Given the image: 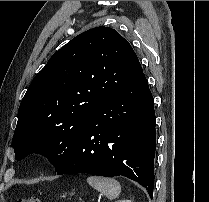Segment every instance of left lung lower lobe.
Listing matches in <instances>:
<instances>
[{
  "label": "left lung lower lobe",
  "mask_w": 209,
  "mask_h": 202,
  "mask_svg": "<svg viewBox=\"0 0 209 202\" xmlns=\"http://www.w3.org/2000/svg\"><path fill=\"white\" fill-rule=\"evenodd\" d=\"M155 122L153 96L142 72L87 115L80 140L57 174L122 175L144 186L152 198Z\"/></svg>",
  "instance_id": "left-lung-lower-lobe-1"
}]
</instances>
